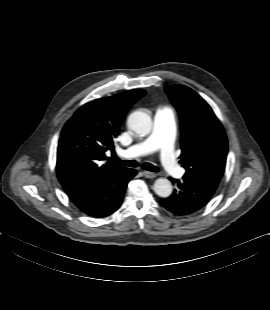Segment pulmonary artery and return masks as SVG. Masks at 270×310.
Returning a JSON list of instances; mask_svg holds the SVG:
<instances>
[{
    "mask_svg": "<svg viewBox=\"0 0 270 310\" xmlns=\"http://www.w3.org/2000/svg\"><path fill=\"white\" fill-rule=\"evenodd\" d=\"M176 136V117L172 109L161 106L154 116L152 132L142 141L130 146L124 151L126 157H136L159 150L161 163L166 171L175 177H181L184 169L177 163L174 154Z\"/></svg>",
    "mask_w": 270,
    "mask_h": 310,
    "instance_id": "e3ab8cb5",
    "label": "pulmonary artery"
}]
</instances>
